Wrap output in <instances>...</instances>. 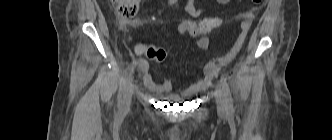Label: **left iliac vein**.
Returning <instances> with one entry per match:
<instances>
[{
    "mask_svg": "<svg viewBox=\"0 0 332 140\" xmlns=\"http://www.w3.org/2000/svg\"><path fill=\"white\" fill-rule=\"evenodd\" d=\"M216 102H217V108L219 112L224 113L227 110V104L225 100V95L222 91V89L219 87L215 92Z\"/></svg>",
    "mask_w": 332,
    "mask_h": 140,
    "instance_id": "4c4485c4",
    "label": "left iliac vein"
}]
</instances>
